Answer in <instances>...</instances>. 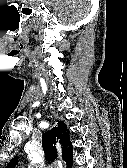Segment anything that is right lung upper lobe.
I'll list each match as a JSON object with an SVG mask.
<instances>
[{"label": "right lung upper lobe", "mask_w": 127, "mask_h": 168, "mask_svg": "<svg viewBox=\"0 0 127 168\" xmlns=\"http://www.w3.org/2000/svg\"><path fill=\"white\" fill-rule=\"evenodd\" d=\"M59 140L61 152L67 168H70L73 162L72 145L69 141V130L64 122L58 121L56 126L43 134L42 145L48 161L57 157L56 141ZM17 163V157L13 158L7 168H13Z\"/></svg>", "instance_id": "1"}]
</instances>
